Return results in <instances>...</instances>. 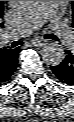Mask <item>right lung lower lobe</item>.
<instances>
[{
	"instance_id": "98d812e1",
	"label": "right lung lower lobe",
	"mask_w": 74,
	"mask_h": 122,
	"mask_svg": "<svg viewBox=\"0 0 74 122\" xmlns=\"http://www.w3.org/2000/svg\"><path fill=\"white\" fill-rule=\"evenodd\" d=\"M20 51L19 48L11 49L9 53L4 54L0 59V83L8 81L13 75Z\"/></svg>"
}]
</instances>
